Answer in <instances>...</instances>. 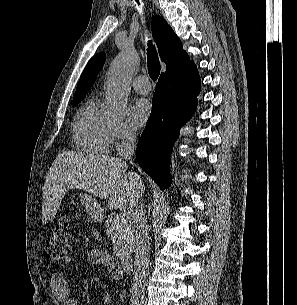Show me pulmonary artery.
Wrapping results in <instances>:
<instances>
[{
  "instance_id": "obj_1",
  "label": "pulmonary artery",
  "mask_w": 297,
  "mask_h": 305,
  "mask_svg": "<svg viewBox=\"0 0 297 305\" xmlns=\"http://www.w3.org/2000/svg\"><path fill=\"white\" fill-rule=\"evenodd\" d=\"M133 89L140 94H147L151 87L146 75H139L132 81Z\"/></svg>"
}]
</instances>
